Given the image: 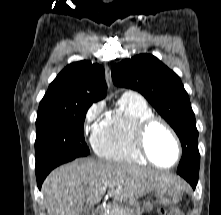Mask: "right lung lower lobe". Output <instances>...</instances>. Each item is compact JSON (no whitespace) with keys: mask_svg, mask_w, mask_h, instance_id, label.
<instances>
[{"mask_svg":"<svg viewBox=\"0 0 221 215\" xmlns=\"http://www.w3.org/2000/svg\"><path fill=\"white\" fill-rule=\"evenodd\" d=\"M78 157H73V158H70V159H67L65 161H59V162H56V163H52L46 167H43V168H40V169H36V178H37V185H38V188L41 189V186H42V183L44 181V179L46 178V176L50 173L51 170H53L55 167L63 164V163H66V162H69V161H72L74 159H76Z\"/></svg>","mask_w":221,"mask_h":215,"instance_id":"98d812e1","label":"right lung lower lobe"}]
</instances>
